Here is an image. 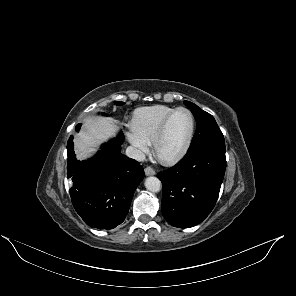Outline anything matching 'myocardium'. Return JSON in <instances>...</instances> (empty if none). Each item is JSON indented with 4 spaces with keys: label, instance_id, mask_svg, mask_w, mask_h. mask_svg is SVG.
<instances>
[{
    "label": "myocardium",
    "instance_id": "myocardium-1",
    "mask_svg": "<svg viewBox=\"0 0 296 296\" xmlns=\"http://www.w3.org/2000/svg\"><path fill=\"white\" fill-rule=\"evenodd\" d=\"M179 111H185L190 115V117H191L190 133H189V136L187 138V141H186L185 145L183 146V148L177 154H175V155H173V156H171L169 158L163 159L158 155V147H159V144H160V142L162 141V139H163V137L165 135L168 124L170 123L173 116ZM195 130H196V118H195V115L193 114V112L190 109L186 108V107L175 108L163 120V122L161 123V125H160V127H159V129H158V131H157V133L155 135V138H154V140L152 142V151H153L154 156L162 164H165V165H172V164L177 163L178 161H180L187 154L188 150L190 149V146H191L193 138H194Z\"/></svg>",
    "mask_w": 296,
    "mask_h": 296
}]
</instances>
